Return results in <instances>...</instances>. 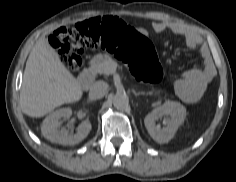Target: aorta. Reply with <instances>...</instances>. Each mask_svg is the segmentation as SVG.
<instances>
[{
    "label": "aorta",
    "instance_id": "obj_1",
    "mask_svg": "<svg viewBox=\"0 0 236 182\" xmlns=\"http://www.w3.org/2000/svg\"><path fill=\"white\" fill-rule=\"evenodd\" d=\"M129 103V98L125 93H116L113 97V105L117 109H124Z\"/></svg>",
    "mask_w": 236,
    "mask_h": 182
}]
</instances>
